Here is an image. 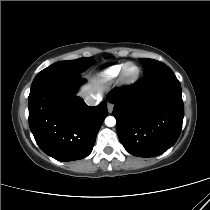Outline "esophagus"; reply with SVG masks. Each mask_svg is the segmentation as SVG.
Segmentation results:
<instances>
[{
	"mask_svg": "<svg viewBox=\"0 0 210 210\" xmlns=\"http://www.w3.org/2000/svg\"><path fill=\"white\" fill-rule=\"evenodd\" d=\"M107 108H108L109 113H111L113 111L114 105L112 103H108Z\"/></svg>",
	"mask_w": 210,
	"mask_h": 210,
	"instance_id": "1",
	"label": "esophagus"
}]
</instances>
